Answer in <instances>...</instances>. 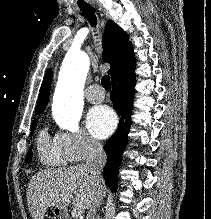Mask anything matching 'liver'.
Segmentation results:
<instances>
[{"mask_svg": "<svg viewBox=\"0 0 211 219\" xmlns=\"http://www.w3.org/2000/svg\"><path fill=\"white\" fill-rule=\"evenodd\" d=\"M104 193L103 185L101 197ZM97 197L98 192L84 164L38 172L32 176L27 191L28 207L33 219H44L49 207L64 210L71 201L75 208L87 210Z\"/></svg>", "mask_w": 211, "mask_h": 219, "instance_id": "liver-1", "label": "liver"}]
</instances>
